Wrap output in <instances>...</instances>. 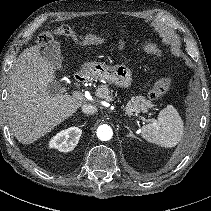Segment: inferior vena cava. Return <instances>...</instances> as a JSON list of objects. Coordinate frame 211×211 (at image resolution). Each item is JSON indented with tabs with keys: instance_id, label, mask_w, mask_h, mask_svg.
Instances as JSON below:
<instances>
[{
	"instance_id": "inferior-vena-cava-1",
	"label": "inferior vena cava",
	"mask_w": 211,
	"mask_h": 211,
	"mask_svg": "<svg viewBox=\"0 0 211 211\" xmlns=\"http://www.w3.org/2000/svg\"><path fill=\"white\" fill-rule=\"evenodd\" d=\"M82 112L86 114H95L97 112V108L94 105L91 104H84L81 107Z\"/></svg>"
}]
</instances>
